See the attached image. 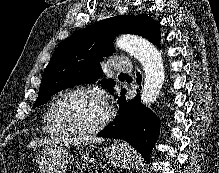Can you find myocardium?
Returning <instances> with one entry per match:
<instances>
[{
  "mask_svg": "<svg viewBox=\"0 0 219 173\" xmlns=\"http://www.w3.org/2000/svg\"><path fill=\"white\" fill-rule=\"evenodd\" d=\"M79 93H90L98 96L105 104L106 106V113L102 120L96 124L93 127H90L88 129H73L70 128L63 120L62 116V109L67 101L68 98H70L73 95L79 94ZM114 115L112 107L109 105L103 91L95 86H90V85H83V86H78L75 88L70 89L69 91L65 92L61 97L58 98L55 109H54V116H55V121L59 128L67 135L73 136V137H85V136H90L93 134H96L100 131H102L112 120Z\"/></svg>",
  "mask_w": 219,
  "mask_h": 173,
  "instance_id": "myocardium-1",
  "label": "myocardium"
}]
</instances>
